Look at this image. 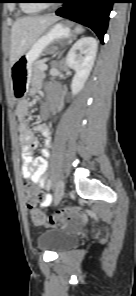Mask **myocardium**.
<instances>
[{
	"instance_id": "myocardium-1",
	"label": "myocardium",
	"mask_w": 136,
	"mask_h": 296,
	"mask_svg": "<svg viewBox=\"0 0 136 296\" xmlns=\"http://www.w3.org/2000/svg\"><path fill=\"white\" fill-rule=\"evenodd\" d=\"M39 1L41 2V4H40L41 6H47V5H49L48 3H45L44 0H39Z\"/></svg>"
}]
</instances>
